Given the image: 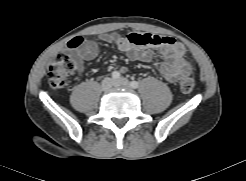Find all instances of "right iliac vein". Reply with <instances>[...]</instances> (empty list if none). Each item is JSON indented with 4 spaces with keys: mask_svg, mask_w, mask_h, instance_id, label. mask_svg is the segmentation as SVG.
<instances>
[{
    "mask_svg": "<svg viewBox=\"0 0 246 181\" xmlns=\"http://www.w3.org/2000/svg\"><path fill=\"white\" fill-rule=\"evenodd\" d=\"M113 86H114V80L109 77L105 78L101 84L103 91H109Z\"/></svg>",
    "mask_w": 246,
    "mask_h": 181,
    "instance_id": "obj_1",
    "label": "right iliac vein"
}]
</instances>
